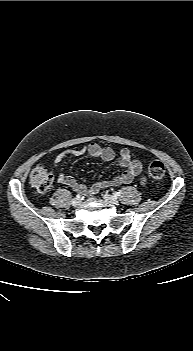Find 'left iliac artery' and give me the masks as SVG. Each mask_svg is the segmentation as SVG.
<instances>
[{"instance_id": "obj_1", "label": "left iliac artery", "mask_w": 193, "mask_h": 351, "mask_svg": "<svg viewBox=\"0 0 193 351\" xmlns=\"http://www.w3.org/2000/svg\"><path fill=\"white\" fill-rule=\"evenodd\" d=\"M120 195H121V192H120V191H119V192H114V193H113V196H114L115 198H118Z\"/></svg>"}]
</instances>
